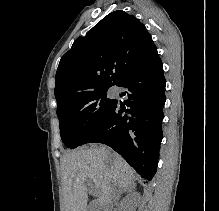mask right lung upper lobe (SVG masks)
Returning <instances> with one entry per match:
<instances>
[{
  "instance_id": "cb5924a9",
  "label": "right lung upper lobe",
  "mask_w": 219,
  "mask_h": 211,
  "mask_svg": "<svg viewBox=\"0 0 219 211\" xmlns=\"http://www.w3.org/2000/svg\"><path fill=\"white\" fill-rule=\"evenodd\" d=\"M157 56L146 27L135 16L114 11L62 56L55 77L57 103L116 86Z\"/></svg>"
}]
</instances>
